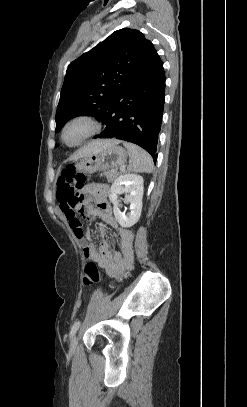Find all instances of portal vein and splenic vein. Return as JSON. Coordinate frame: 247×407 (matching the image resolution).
<instances>
[{
    "label": "portal vein and splenic vein",
    "mask_w": 247,
    "mask_h": 407,
    "mask_svg": "<svg viewBox=\"0 0 247 407\" xmlns=\"http://www.w3.org/2000/svg\"><path fill=\"white\" fill-rule=\"evenodd\" d=\"M124 170H125V167H124V166L120 168V171H124Z\"/></svg>",
    "instance_id": "obj_1"
}]
</instances>
